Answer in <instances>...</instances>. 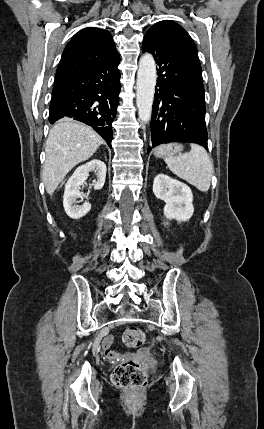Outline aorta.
<instances>
[{
  "label": "aorta",
  "mask_w": 264,
  "mask_h": 429,
  "mask_svg": "<svg viewBox=\"0 0 264 429\" xmlns=\"http://www.w3.org/2000/svg\"><path fill=\"white\" fill-rule=\"evenodd\" d=\"M156 78L154 58L151 54L146 53L139 60L136 84L138 115L140 120L145 124L151 119Z\"/></svg>",
  "instance_id": "aorta-1"
}]
</instances>
